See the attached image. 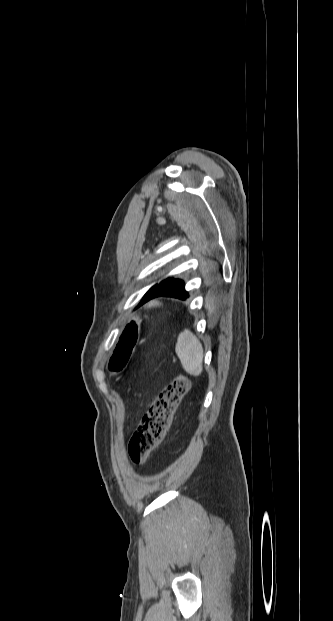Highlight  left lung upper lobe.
I'll list each match as a JSON object with an SVG mask.
<instances>
[{"label":"left lung upper lobe","mask_w":333,"mask_h":621,"mask_svg":"<svg viewBox=\"0 0 333 621\" xmlns=\"http://www.w3.org/2000/svg\"><path fill=\"white\" fill-rule=\"evenodd\" d=\"M172 280H174L172 277H168L162 281H160L159 283L155 284L153 287H151L147 293L144 295L143 299L141 300V302L139 303V306L150 301L152 299V296L163 286H165L166 284H168L169 282H171Z\"/></svg>","instance_id":"obj_1"}]
</instances>
